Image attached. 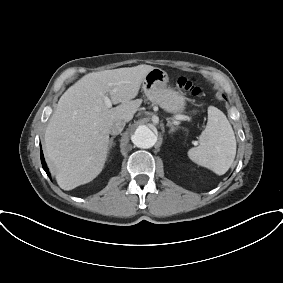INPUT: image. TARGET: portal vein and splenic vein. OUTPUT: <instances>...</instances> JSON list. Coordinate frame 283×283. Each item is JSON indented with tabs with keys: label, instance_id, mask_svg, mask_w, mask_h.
I'll return each instance as SVG.
<instances>
[{
	"label": "portal vein and splenic vein",
	"instance_id": "1",
	"mask_svg": "<svg viewBox=\"0 0 283 283\" xmlns=\"http://www.w3.org/2000/svg\"><path fill=\"white\" fill-rule=\"evenodd\" d=\"M104 101H105V104L108 108H111L112 107V102L111 100L109 99V97L105 96L104 97ZM177 119H189V117H186V116H178Z\"/></svg>",
	"mask_w": 283,
	"mask_h": 283
}]
</instances>
